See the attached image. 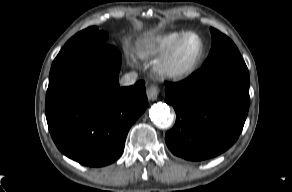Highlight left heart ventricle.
<instances>
[{"instance_id": "1", "label": "left heart ventricle", "mask_w": 292, "mask_h": 192, "mask_svg": "<svg viewBox=\"0 0 292 192\" xmlns=\"http://www.w3.org/2000/svg\"><path fill=\"white\" fill-rule=\"evenodd\" d=\"M201 49L200 41L197 37L191 36L187 38L181 46L178 54L177 62L180 66H187L199 54Z\"/></svg>"}]
</instances>
